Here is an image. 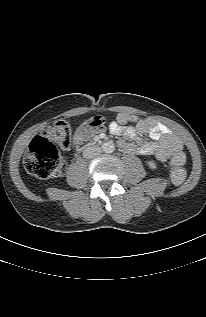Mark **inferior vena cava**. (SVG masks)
Instances as JSON below:
<instances>
[{
	"instance_id": "obj_1",
	"label": "inferior vena cava",
	"mask_w": 206,
	"mask_h": 317,
	"mask_svg": "<svg viewBox=\"0 0 206 317\" xmlns=\"http://www.w3.org/2000/svg\"><path fill=\"white\" fill-rule=\"evenodd\" d=\"M101 152V148L98 146H87L83 150L84 158H92L97 156Z\"/></svg>"
}]
</instances>
